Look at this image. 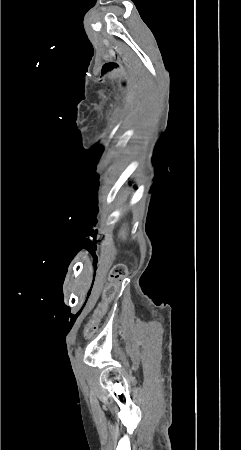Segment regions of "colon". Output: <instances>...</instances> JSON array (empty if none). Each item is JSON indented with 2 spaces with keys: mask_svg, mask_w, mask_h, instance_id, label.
<instances>
[{
  "mask_svg": "<svg viewBox=\"0 0 241 450\" xmlns=\"http://www.w3.org/2000/svg\"><path fill=\"white\" fill-rule=\"evenodd\" d=\"M127 275V267L123 263H117L111 269L108 274L106 287L103 292V296L99 299V304L95 308V313L89 320L85 328V338L90 339L97 329V321L99 317H102L107 309V306L111 305L113 295L117 292L118 282Z\"/></svg>",
  "mask_w": 241,
  "mask_h": 450,
  "instance_id": "obj_1",
  "label": "colon"
}]
</instances>
